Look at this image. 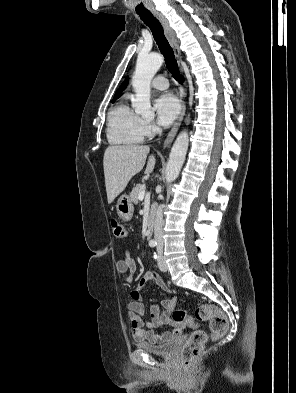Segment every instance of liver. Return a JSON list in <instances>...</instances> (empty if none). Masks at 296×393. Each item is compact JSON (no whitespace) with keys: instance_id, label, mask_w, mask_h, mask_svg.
Returning <instances> with one entry per match:
<instances>
[{"instance_id":"liver-1","label":"liver","mask_w":296,"mask_h":393,"mask_svg":"<svg viewBox=\"0 0 296 393\" xmlns=\"http://www.w3.org/2000/svg\"><path fill=\"white\" fill-rule=\"evenodd\" d=\"M149 151V146L143 145L107 147L104 153L103 167L109 204L123 192L131 178L143 169ZM155 163V156L151 155L147 162L145 175H149L153 171Z\"/></svg>"}]
</instances>
